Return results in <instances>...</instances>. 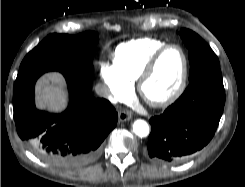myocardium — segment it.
Instances as JSON below:
<instances>
[{"label":"myocardium","instance_id":"obj_1","mask_svg":"<svg viewBox=\"0 0 245 187\" xmlns=\"http://www.w3.org/2000/svg\"><path fill=\"white\" fill-rule=\"evenodd\" d=\"M170 49H177L181 53L182 60H183V67H182V73L180 79L175 89L169 95H167L166 97L160 100H151L145 95L144 92L145 84L149 80V78L153 75L160 58ZM188 72H189V63L184 49L177 44H166L151 56V58L147 61L146 65L142 69L136 81L137 91L141 96V98L148 105L154 108L168 107L171 104H173L175 101H177L179 97L183 94L187 84Z\"/></svg>","mask_w":245,"mask_h":187}]
</instances>
